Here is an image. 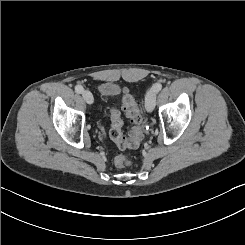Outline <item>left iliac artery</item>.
Wrapping results in <instances>:
<instances>
[{
  "label": "left iliac artery",
  "instance_id": "1",
  "mask_svg": "<svg viewBox=\"0 0 245 245\" xmlns=\"http://www.w3.org/2000/svg\"><path fill=\"white\" fill-rule=\"evenodd\" d=\"M153 89H154L156 92H159V91L162 89V84H160V83L154 84Z\"/></svg>",
  "mask_w": 245,
  "mask_h": 245
}]
</instances>
